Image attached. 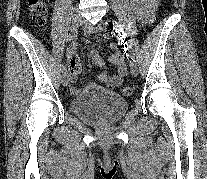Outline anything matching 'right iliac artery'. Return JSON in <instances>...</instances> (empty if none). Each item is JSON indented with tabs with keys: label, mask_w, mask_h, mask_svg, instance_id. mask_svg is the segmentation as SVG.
<instances>
[{
	"label": "right iliac artery",
	"mask_w": 207,
	"mask_h": 179,
	"mask_svg": "<svg viewBox=\"0 0 207 179\" xmlns=\"http://www.w3.org/2000/svg\"><path fill=\"white\" fill-rule=\"evenodd\" d=\"M76 36H77V31H71V33L68 36L67 41H69V42L73 41ZM65 72H67V69H66V67L63 66L62 73H65Z\"/></svg>",
	"instance_id": "1"
}]
</instances>
